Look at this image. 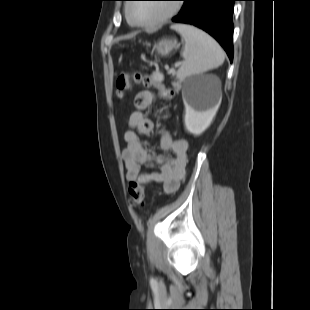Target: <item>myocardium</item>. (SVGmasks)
Returning a JSON list of instances; mask_svg holds the SVG:
<instances>
[{
  "label": "myocardium",
  "instance_id": "1",
  "mask_svg": "<svg viewBox=\"0 0 310 310\" xmlns=\"http://www.w3.org/2000/svg\"><path fill=\"white\" fill-rule=\"evenodd\" d=\"M133 4H128L125 8V14L126 17L129 21L130 24L136 26V27H141V28H153V27H158L163 25L165 22H167L168 20H170L172 17H174L180 10V6L172 3L170 4L169 10L167 11V13L165 15H163L162 17L154 20V21H150V22H139V21H135L130 13V8Z\"/></svg>",
  "mask_w": 310,
  "mask_h": 310
}]
</instances>
